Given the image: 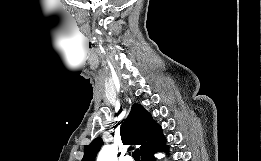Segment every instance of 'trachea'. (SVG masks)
<instances>
[{
    "label": "trachea",
    "instance_id": "trachea-1",
    "mask_svg": "<svg viewBox=\"0 0 261 161\" xmlns=\"http://www.w3.org/2000/svg\"><path fill=\"white\" fill-rule=\"evenodd\" d=\"M133 158L135 161H140V152H139V149H136L134 152H133Z\"/></svg>",
    "mask_w": 261,
    "mask_h": 161
}]
</instances>
